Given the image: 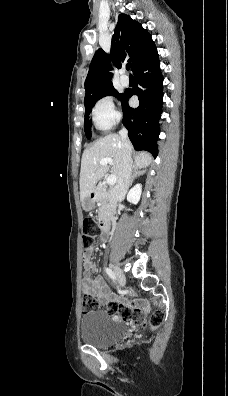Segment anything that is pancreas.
<instances>
[{"instance_id":"pancreas-1","label":"pancreas","mask_w":228,"mask_h":396,"mask_svg":"<svg viewBox=\"0 0 228 396\" xmlns=\"http://www.w3.org/2000/svg\"><path fill=\"white\" fill-rule=\"evenodd\" d=\"M96 199L100 203L98 212L99 220L109 218L112 211V191L104 182H100L96 187Z\"/></svg>"}]
</instances>
